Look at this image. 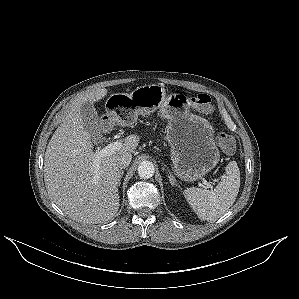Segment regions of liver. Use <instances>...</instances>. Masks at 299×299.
<instances>
[{
    "label": "liver",
    "mask_w": 299,
    "mask_h": 299,
    "mask_svg": "<svg viewBox=\"0 0 299 299\" xmlns=\"http://www.w3.org/2000/svg\"><path fill=\"white\" fill-rule=\"evenodd\" d=\"M106 88L78 95L63 123L55 130L44 157V180L52 200L73 220L86 224L106 223L120 206L118 158L134 153L140 138L129 135L119 151L101 159L96 172L90 134L82 124L81 108L104 98Z\"/></svg>",
    "instance_id": "liver-1"
}]
</instances>
